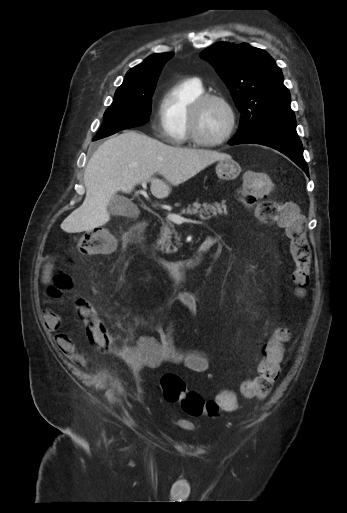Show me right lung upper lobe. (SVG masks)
Returning a JSON list of instances; mask_svg holds the SVG:
<instances>
[{"instance_id":"cb5924a9","label":"right lung upper lobe","mask_w":347,"mask_h":513,"mask_svg":"<svg viewBox=\"0 0 347 513\" xmlns=\"http://www.w3.org/2000/svg\"><path fill=\"white\" fill-rule=\"evenodd\" d=\"M172 56L173 53H157L149 56L127 72L119 88H139L157 82L162 67Z\"/></svg>"}]
</instances>
